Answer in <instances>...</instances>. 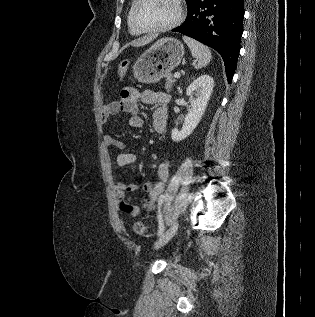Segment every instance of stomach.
<instances>
[{
	"label": "stomach",
	"instance_id": "1",
	"mask_svg": "<svg viewBox=\"0 0 315 317\" xmlns=\"http://www.w3.org/2000/svg\"><path fill=\"white\" fill-rule=\"evenodd\" d=\"M183 55L184 46L179 40L159 39L138 57L133 66L134 77L141 83H156L180 64Z\"/></svg>",
	"mask_w": 315,
	"mask_h": 317
}]
</instances>
